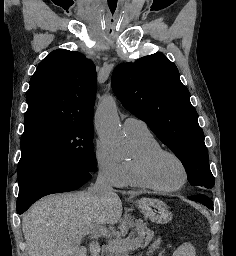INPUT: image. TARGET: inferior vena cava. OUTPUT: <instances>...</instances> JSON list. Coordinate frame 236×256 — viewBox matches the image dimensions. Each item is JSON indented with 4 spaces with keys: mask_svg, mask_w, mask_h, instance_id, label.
Here are the masks:
<instances>
[{
    "mask_svg": "<svg viewBox=\"0 0 236 256\" xmlns=\"http://www.w3.org/2000/svg\"><path fill=\"white\" fill-rule=\"evenodd\" d=\"M90 190L97 198H105L106 194H114L113 188H111V184L107 180V174L103 170H99L97 180Z\"/></svg>",
    "mask_w": 236,
    "mask_h": 256,
    "instance_id": "obj_1",
    "label": "inferior vena cava"
}]
</instances>
